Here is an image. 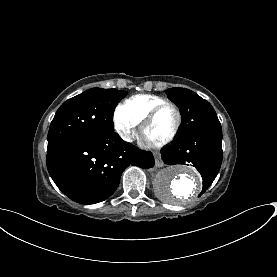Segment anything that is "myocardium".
I'll list each match as a JSON object with an SVG mask.
<instances>
[{"mask_svg": "<svg viewBox=\"0 0 277 277\" xmlns=\"http://www.w3.org/2000/svg\"><path fill=\"white\" fill-rule=\"evenodd\" d=\"M167 107H172L176 111V115H177L176 124H175L172 132L165 139H163L159 142L152 143V146L160 147V146H163V145L171 142L176 137V135L178 134V132L180 130V127H181V124H182V121H183L182 112H181L180 108L175 103L167 101V102H164V103H161V104L155 106L148 113V115L146 116V118L144 119V121L142 122V125H141V129H140L141 130V135L144 136V133L147 130V128L150 127L154 123V121L156 120L158 115L161 113V111L164 110Z\"/></svg>", "mask_w": 277, "mask_h": 277, "instance_id": "f54148a6", "label": "myocardium"}]
</instances>
